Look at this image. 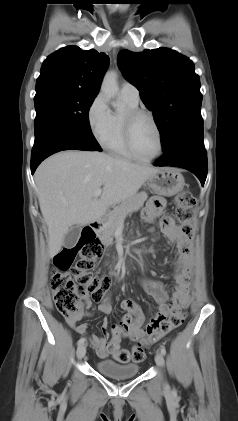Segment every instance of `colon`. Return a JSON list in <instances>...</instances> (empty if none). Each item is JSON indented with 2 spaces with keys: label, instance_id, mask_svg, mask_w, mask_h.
Masks as SVG:
<instances>
[{
  "label": "colon",
  "instance_id": "colon-1",
  "mask_svg": "<svg viewBox=\"0 0 238 421\" xmlns=\"http://www.w3.org/2000/svg\"><path fill=\"white\" fill-rule=\"evenodd\" d=\"M175 206L180 231L191 239L197 206L196 198L189 191H183L176 196ZM100 253L101 246L95 235L83 233L75 246L65 247L55 255L53 260L55 269L51 279L52 294L58 311L67 319L82 315L89 298L94 302L108 303L107 291L111 281L97 270V258ZM185 317L184 309L173 310L170 317L161 324L158 332L146 337L131 349H116L115 360L123 364L143 361L146 348L179 327Z\"/></svg>",
  "mask_w": 238,
  "mask_h": 421
}]
</instances>
